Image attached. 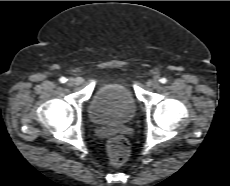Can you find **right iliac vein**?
<instances>
[{"instance_id":"63e3f726","label":"right iliac vein","mask_w":230,"mask_h":186,"mask_svg":"<svg viewBox=\"0 0 230 186\" xmlns=\"http://www.w3.org/2000/svg\"><path fill=\"white\" fill-rule=\"evenodd\" d=\"M79 83V81L77 80V79H74V78H70L69 80H68V82H67V84L69 85V86H74V85H76V84H78Z\"/></svg>"}]
</instances>
